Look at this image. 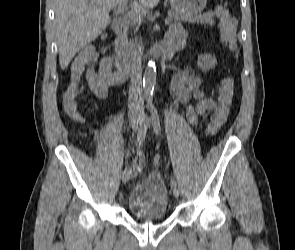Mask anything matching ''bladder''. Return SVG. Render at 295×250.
I'll use <instances>...</instances> for the list:
<instances>
[{
    "label": "bladder",
    "mask_w": 295,
    "mask_h": 250,
    "mask_svg": "<svg viewBox=\"0 0 295 250\" xmlns=\"http://www.w3.org/2000/svg\"><path fill=\"white\" fill-rule=\"evenodd\" d=\"M126 207L129 213L139 220L166 218L169 197L166 184L158 172L148 174L132 188Z\"/></svg>",
    "instance_id": "1"
}]
</instances>
